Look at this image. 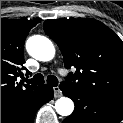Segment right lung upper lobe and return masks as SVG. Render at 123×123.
I'll use <instances>...</instances> for the list:
<instances>
[{"label": "right lung upper lobe", "mask_w": 123, "mask_h": 123, "mask_svg": "<svg viewBox=\"0 0 123 123\" xmlns=\"http://www.w3.org/2000/svg\"><path fill=\"white\" fill-rule=\"evenodd\" d=\"M39 21L1 19V111L31 98L40 86L18 83L24 74V41Z\"/></svg>", "instance_id": "obj_1"}]
</instances>
